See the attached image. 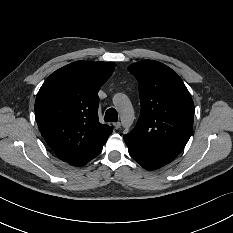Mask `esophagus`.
I'll list each match as a JSON object with an SVG mask.
<instances>
[{
  "label": "esophagus",
  "mask_w": 233,
  "mask_h": 233,
  "mask_svg": "<svg viewBox=\"0 0 233 233\" xmlns=\"http://www.w3.org/2000/svg\"><path fill=\"white\" fill-rule=\"evenodd\" d=\"M113 126L116 130H118L121 127V123L120 122H114Z\"/></svg>",
  "instance_id": "obj_1"
}]
</instances>
